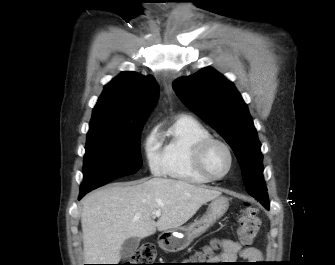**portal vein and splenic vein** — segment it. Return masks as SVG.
I'll use <instances>...</instances> for the list:
<instances>
[{"instance_id":"18ae733b","label":"portal vein and splenic vein","mask_w":335,"mask_h":265,"mask_svg":"<svg viewBox=\"0 0 335 265\" xmlns=\"http://www.w3.org/2000/svg\"><path fill=\"white\" fill-rule=\"evenodd\" d=\"M153 215H154L155 217H159V216L161 215V211H160V210L155 211V212H153Z\"/></svg>"}]
</instances>
